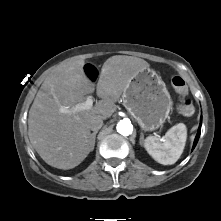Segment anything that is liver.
<instances>
[{
	"instance_id": "6515ba94",
	"label": "liver",
	"mask_w": 221,
	"mask_h": 221,
	"mask_svg": "<svg viewBox=\"0 0 221 221\" xmlns=\"http://www.w3.org/2000/svg\"><path fill=\"white\" fill-rule=\"evenodd\" d=\"M84 64L83 60L74 61L46 78L29 111L30 142L48 165L58 169H72L88 156L93 148L90 122L109 118L130 80L149 67L133 56L108 58L96 86L101 100L90 110L73 113L71 109L95 91Z\"/></svg>"
}]
</instances>
